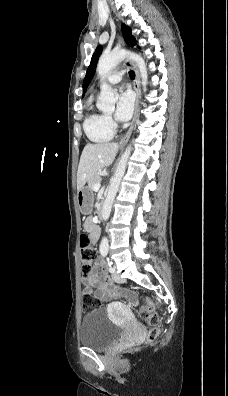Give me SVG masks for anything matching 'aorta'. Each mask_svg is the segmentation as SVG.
<instances>
[{
	"instance_id": "762f6f07",
	"label": "aorta",
	"mask_w": 228,
	"mask_h": 396,
	"mask_svg": "<svg viewBox=\"0 0 228 396\" xmlns=\"http://www.w3.org/2000/svg\"><path fill=\"white\" fill-rule=\"evenodd\" d=\"M124 59H129L134 61L140 71L142 86L144 91H146V83H147V69L144 59L133 52H129L126 50H113L109 54H103L97 65V72L101 78V92L98 101V108L102 111L113 110L115 107V102L117 100V93L106 83L104 82L108 73L115 68L119 63H121ZM132 151L131 144L127 146L125 152L122 154L121 159L117 165L116 172L114 176L110 180V186L108 189V193L103 204L102 208V218L103 220H107L110 216L112 205L116 193L119 189L121 180L125 174L127 161ZM109 248V242L106 237L102 238L100 243V251L107 252Z\"/></svg>"
}]
</instances>
